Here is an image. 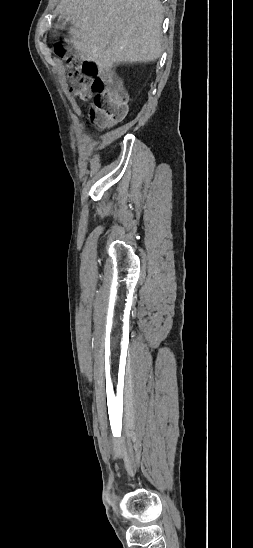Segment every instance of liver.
<instances>
[{
  "mask_svg": "<svg viewBox=\"0 0 253 548\" xmlns=\"http://www.w3.org/2000/svg\"><path fill=\"white\" fill-rule=\"evenodd\" d=\"M56 12L71 21L67 40L100 70L123 62H151L162 54L159 0H61Z\"/></svg>",
  "mask_w": 253,
  "mask_h": 548,
  "instance_id": "obj_1",
  "label": "liver"
}]
</instances>
